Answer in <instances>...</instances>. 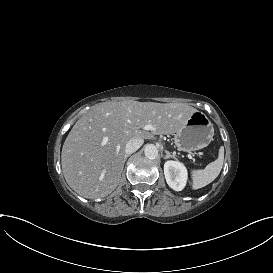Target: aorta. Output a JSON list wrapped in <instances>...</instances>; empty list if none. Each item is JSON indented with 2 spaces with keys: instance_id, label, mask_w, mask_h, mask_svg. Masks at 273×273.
I'll use <instances>...</instances> for the list:
<instances>
[{
  "instance_id": "1",
  "label": "aorta",
  "mask_w": 273,
  "mask_h": 273,
  "mask_svg": "<svg viewBox=\"0 0 273 273\" xmlns=\"http://www.w3.org/2000/svg\"><path fill=\"white\" fill-rule=\"evenodd\" d=\"M144 154L148 159H155L158 157L159 151L154 144H147L144 149Z\"/></svg>"
}]
</instances>
